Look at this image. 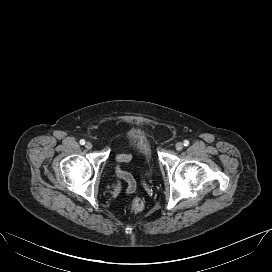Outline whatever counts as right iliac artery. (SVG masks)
Listing matches in <instances>:
<instances>
[{
  "mask_svg": "<svg viewBox=\"0 0 272 272\" xmlns=\"http://www.w3.org/2000/svg\"><path fill=\"white\" fill-rule=\"evenodd\" d=\"M79 143H80L81 145H84V144H85V140H84V139H81Z\"/></svg>",
  "mask_w": 272,
  "mask_h": 272,
  "instance_id": "obj_1",
  "label": "right iliac artery"
}]
</instances>
